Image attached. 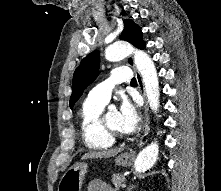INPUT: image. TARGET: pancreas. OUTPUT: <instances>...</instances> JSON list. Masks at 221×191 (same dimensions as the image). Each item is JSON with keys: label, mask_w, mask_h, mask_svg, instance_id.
Listing matches in <instances>:
<instances>
[{"label": "pancreas", "mask_w": 221, "mask_h": 191, "mask_svg": "<svg viewBox=\"0 0 221 191\" xmlns=\"http://www.w3.org/2000/svg\"><path fill=\"white\" fill-rule=\"evenodd\" d=\"M125 177L122 174H113L112 175V184L115 186V188H120L122 184L125 182Z\"/></svg>", "instance_id": "obj_1"}]
</instances>
